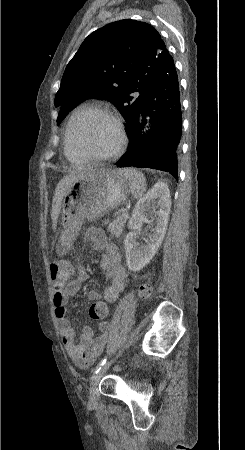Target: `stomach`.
<instances>
[{"label": "stomach", "mask_w": 245, "mask_h": 450, "mask_svg": "<svg viewBox=\"0 0 245 450\" xmlns=\"http://www.w3.org/2000/svg\"><path fill=\"white\" fill-rule=\"evenodd\" d=\"M130 184L122 170L99 168L76 179L65 194L62 206L63 231L56 252L66 255L84 220H95L123 204Z\"/></svg>", "instance_id": "1"}]
</instances>
